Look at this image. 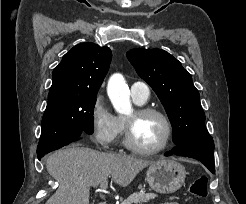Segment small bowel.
I'll use <instances>...</instances> for the list:
<instances>
[{
  "instance_id": "small-bowel-1",
  "label": "small bowel",
  "mask_w": 246,
  "mask_h": 204,
  "mask_svg": "<svg viewBox=\"0 0 246 204\" xmlns=\"http://www.w3.org/2000/svg\"><path fill=\"white\" fill-rule=\"evenodd\" d=\"M164 204H179V203H176V202H168V203H164Z\"/></svg>"
}]
</instances>
